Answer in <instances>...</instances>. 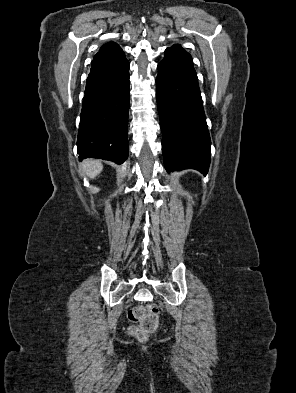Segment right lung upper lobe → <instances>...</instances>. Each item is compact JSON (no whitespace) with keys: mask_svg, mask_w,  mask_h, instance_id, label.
Instances as JSON below:
<instances>
[{"mask_svg":"<svg viewBox=\"0 0 296 393\" xmlns=\"http://www.w3.org/2000/svg\"><path fill=\"white\" fill-rule=\"evenodd\" d=\"M117 44L116 43H114V42H109V43H107V44H105V45H103V46H116Z\"/></svg>","mask_w":296,"mask_h":393,"instance_id":"obj_1","label":"right lung upper lobe"}]
</instances>
